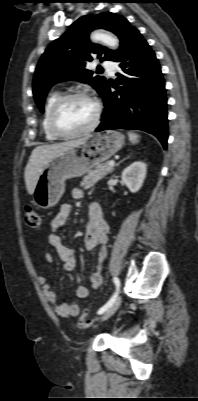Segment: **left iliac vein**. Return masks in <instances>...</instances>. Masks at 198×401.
<instances>
[{"label":"left iliac vein","mask_w":198,"mask_h":401,"mask_svg":"<svg viewBox=\"0 0 198 401\" xmlns=\"http://www.w3.org/2000/svg\"><path fill=\"white\" fill-rule=\"evenodd\" d=\"M121 296H117L116 300L114 301V303L103 313V315L101 316L100 320L101 321H105L108 318H110L120 307L121 305Z\"/></svg>","instance_id":"obj_1"}]
</instances>
